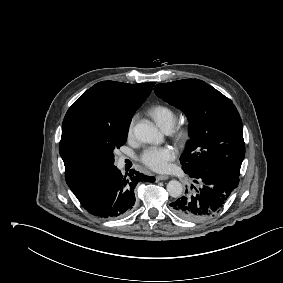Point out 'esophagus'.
I'll return each instance as SVG.
<instances>
[{
    "instance_id": "obj_1",
    "label": "esophagus",
    "mask_w": 283,
    "mask_h": 283,
    "mask_svg": "<svg viewBox=\"0 0 283 283\" xmlns=\"http://www.w3.org/2000/svg\"><path fill=\"white\" fill-rule=\"evenodd\" d=\"M167 179H169V176H167V175L156 176V181L167 180Z\"/></svg>"
}]
</instances>
